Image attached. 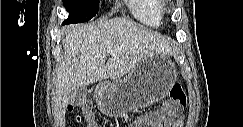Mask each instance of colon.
Here are the masks:
<instances>
[{"mask_svg": "<svg viewBox=\"0 0 243 127\" xmlns=\"http://www.w3.org/2000/svg\"><path fill=\"white\" fill-rule=\"evenodd\" d=\"M185 104L186 96L181 85L174 84L170 88L169 98L165 101L163 107L159 111V114L157 116L150 117L145 121V123L152 126H173L175 124L176 116L179 115ZM68 109L71 113L75 114V120L78 123H82L84 121V113H88V115H90V107L85 99H80L70 103ZM90 122L87 125L89 127L92 126Z\"/></svg>", "mask_w": 243, "mask_h": 127, "instance_id": "5ec220e1", "label": "colon"}]
</instances>
